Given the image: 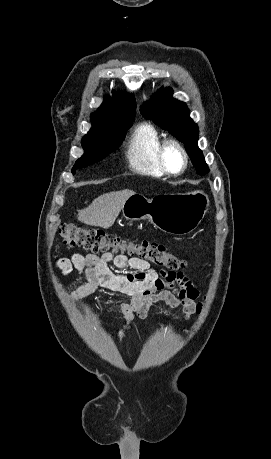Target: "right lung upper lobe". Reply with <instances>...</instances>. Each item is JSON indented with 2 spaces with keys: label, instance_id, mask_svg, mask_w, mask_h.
<instances>
[{
  "label": "right lung upper lobe",
  "instance_id": "right-lung-upper-lobe-1",
  "mask_svg": "<svg viewBox=\"0 0 271 459\" xmlns=\"http://www.w3.org/2000/svg\"><path fill=\"white\" fill-rule=\"evenodd\" d=\"M135 110L136 102L133 95L113 93L112 99L106 96L102 105L91 115V122L134 120Z\"/></svg>",
  "mask_w": 271,
  "mask_h": 459
}]
</instances>
